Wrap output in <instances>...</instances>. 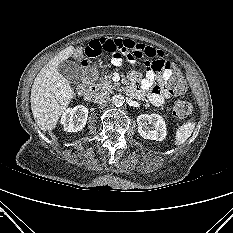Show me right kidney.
Listing matches in <instances>:
<instances>
[{"instance_id":"right-kidney-1","label":"right kidney","mask_w":233,"mask_h":233,"mask_svg":"<svg viewBox=\"0 0 233 233\" xmlns=\"http://www.w3.org/2000/svg\"><path fill=\"white\" fill-rule=\"evenodd\" d=\"M88 109L83 105L68 108L62 115L61 124L67 132H77L85 127Z\"/></svg>"}]
</instances>
